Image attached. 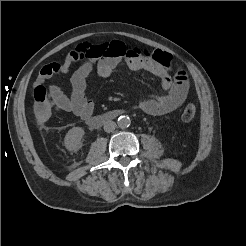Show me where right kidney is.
Masks as SVG:
<instances>
[{
    "mask_svg": "<svg viewBox=\"0 0 246 246\" xmlns=\"http://www.w3.org/2000/svg\"><path fill=\"white\" fill-rule=\"evenodd\" d=\"M84 136V129L82 127H74L70 129L65 138L64 146L70 152H77L82 147V138Z\"/></svg>",
    "mask_w": 246,
    "mask_h": 246,
    "instance_id": "right-kidney-1",
    "label": "right kidney"
}]
</instances>
